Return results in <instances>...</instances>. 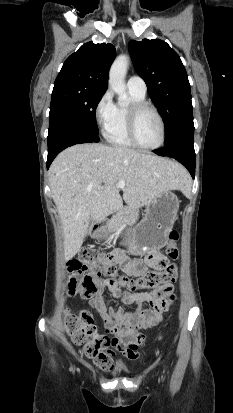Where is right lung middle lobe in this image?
<instances>
[{"instance_id":"dd1d6c3e","label":"right lung middle lobe","mask_w":233,"mask_h":413,"mask_svg":"<svg viewBox=\"0 0 233 413\" xmlns=\"http://www.w3.org/2000/svg\"><path fill=\"white\" fill-rule=\"evenodd\" d=\"M105 92L79 86H54L50 104L49 134L72 128L98 135L95 111Z\"/></svg>"}]
</instances>
